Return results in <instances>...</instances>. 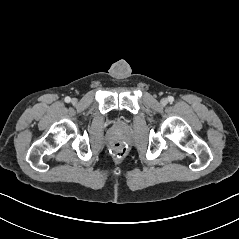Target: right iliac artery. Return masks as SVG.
Wrapping results in <instances>:
<instances>
[{
	"mask_svg": "<svg viewBox=\"0 0 239 239\" xmlns=\"http://www.w3.org/2000/svg\"><path fill=\"white\" fill-rule=\"evenodd\" d=\"M70 101H71V98H70V97H66V98H65V102H66V103H69Z\"/></svg>",
	"mask_w": 239,
	"mask_h": 239,
	"instance_id": "82829eb1",
	"label": "right iliac artery"
}]
</instances>
